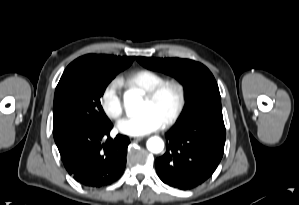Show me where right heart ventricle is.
Listing matches in <instances>:
<instances>
[{"mask_svg": "<svg viewBox=\"0 0 299 205\" xmlns=\"http://www.w3.org/2000/svg\"><path fill=\"white\" fill-rule=\"evenodd\" d=\"M164 80L165 77L163 75L153 70L139 69L119 79V82L129 89L145 93Z\"/></svg>", "mask_w": 299, "mask_h": 205, "instance_id": "e07e8e85", "label": "right heart ventricle"}]
</instances>
